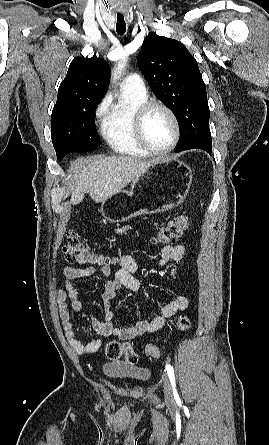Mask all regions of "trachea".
Returning <instances> with one entry per match:
<instances>
[{
  "label": "trachea",
  "mask_w": 269,
  "mask_h": 445,
  "mask_svg": "<svg viewBox=\"0 0 269 445\" xmlns=\"http://www.w3.org/2000/svg\"><path fill=\"white\" fill-rule=\"evenodd\" d=\"M116 31L119 35H123L126 32V23L123 15L117 16Z\"/></svg>",
  "instance_id": "obj_1"
}]
</instances>
